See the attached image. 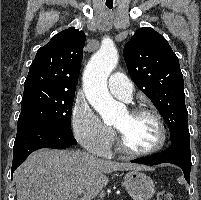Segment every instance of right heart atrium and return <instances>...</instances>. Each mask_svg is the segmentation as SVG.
I'll list each match as a JSON object with an SVG mask.
<instances>
[{
    "label": "right heart atrium",
    "instance_id": "obj_1",
    "mask_svg": "<svg viewBox=\"0 0 201 200\" xmlns=\"http://www.w3.org/2000/svg\"><path fill=\"white\" fill-rule=\"evenodd\" d=\"M72 128L75 138L87 151L98 156L109 154L114 132L87 103L75 105L72 112Z\"/></svg>",
    "mask_w": 201,
    "mask_h": 200
}]
</instances>
